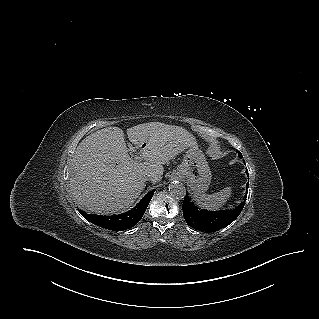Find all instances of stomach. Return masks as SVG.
Here are the masks:
<instances>
[{
  "mask_svg": "<svg viewBox=\"0 0 319 319\" xmlns=\"http://www.w3.org/2000/svg\"><path fill=\"white\" fill-rule=\"evenodd\" d=\"M176 174L187 180L194 193L205 192L212 179L206 158L198 147H189L186 150L183 161L177 167Z\"/></svg>",
  "mask_w": 319,
  "mask_h": 319,
  "instance_id": "obj_1",
  "label": "stomach"
}]
</instances>
